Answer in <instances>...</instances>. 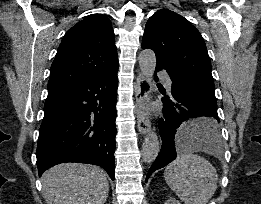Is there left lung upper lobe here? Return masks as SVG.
<instances>
[{
	"instance_id": "left-lung-upper-lobe-1",
	"label": "left lung upper lobe",
	"mask_w": 261,
	"mask_h": 204,
	"mask_svg": "<svg viewBox=\"0 0 261 204\" xmlns=\"http://www.w3.org/2000/svg\"><path fill=\"white\" fill-rule=\"evenodd\" d=\"M142 48L156 54V66L172 82L190 81L214 93L211 62L200 32L184 17L161 9L147 21Z\"/></svg>"
}]
</instances>
